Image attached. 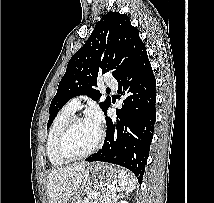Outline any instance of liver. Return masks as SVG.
I'll return each mask as SVG.
<instances>
[{
	"label": "liver",
	"mask_w": 214,
	"mask_h": 203,
	"mask_svg": "<svg viewBox=\"0 0 214 203\" xmlns=\"http://www.w3.org/2000/svg\"><path fill=\"white\" fill-rule=\"evenodd\" d=\"M88 163L79 162L61 168H53L47 176L49 203H68L83 181V172Z\"/></svg>",
	"instance_id": "liver-1"
}]
</instances>
